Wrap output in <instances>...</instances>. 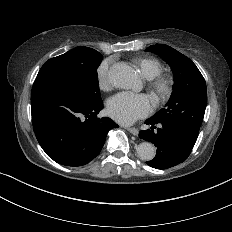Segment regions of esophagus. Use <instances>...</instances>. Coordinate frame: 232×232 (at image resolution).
I'll return each mask as SVG.
<instances>
[{
  "mask_svg": "<svg viewBox=\"0 0 232 232\" xmlns=\"http://www.w3.org/2000/svg\"><path fill=\"white\" fill-rule=\"evenodd\" d=\"M127 131H129L131 134L137 136L138 135V130L133 127L126 128Z\"/></svg>",
  "mask_w": 232,
  "mask_h": 232,
  "instance_id": "esophagus-1",
  "label": "esophagus"
}]
</instances>
